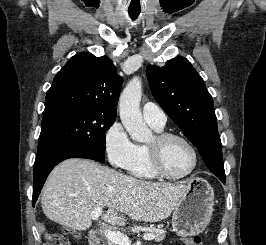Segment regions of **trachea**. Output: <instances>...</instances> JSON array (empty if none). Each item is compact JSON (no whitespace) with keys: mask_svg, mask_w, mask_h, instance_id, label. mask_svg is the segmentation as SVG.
Segmentation results:
<instances>
[{"mask_svg":"<svg viewBox=\"0 0 266 245\" xmlns=\"http://www.w3.org/2000/svg\"><path fill=\"white\" fill-rule=\"evenodd\" d=\"M129 15L132 19H135L137 18V16L139 15V13H136V12H129Z\"/></svg>","mask_w":266,"mask_h":245,"instance_id":"3493384b","label":"trachea"}]
</instances>
